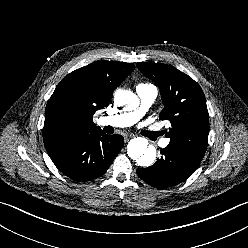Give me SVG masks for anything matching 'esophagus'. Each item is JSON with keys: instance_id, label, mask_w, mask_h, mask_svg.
Instances as JSON below:
<instances>
[{"instance_id": "1", "label": "esophagus", "mask_w": 248, "mask_h": 248, "mask_svg": "<svg viewBox=\"0 0 248 248\" xmlns=\"http://www.w3.org/2000/svg\"><path fill=\"white\" fill-rule=\"evenodd\" d=\"M130 138H132V135H125L124 136L125 142L129 141Z\"/></svg>"}]
</instances>
